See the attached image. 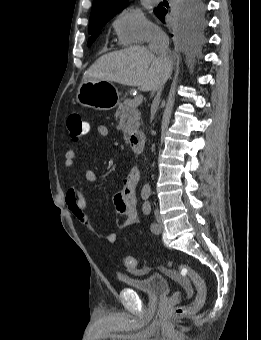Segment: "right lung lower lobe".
Masks as SVG:
<instances>
[{
    "label": "right lung lower lobe",
    "instance_id": "1",
    "mask_svg": "<svg viewBox=\"0 0 261 340\" xmlns=\"http://www.w3.org/2000/svg\"><path fill=\"white\" fill-rule=\"evenodd\" d=\"M186 0H180V3L184 2ZM203 2V0H201ZM204 4V3H203ZM205 7V5H204ZM168 10L166 8H160L158 10H156L155 14L157 15V17L160 19V20H164V16L167 14Z\"/></svg>",
    "mask_w": 261,
    "mask_h": 340
}]
</instances>
